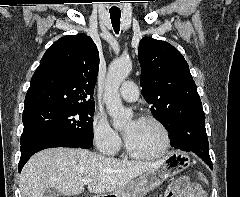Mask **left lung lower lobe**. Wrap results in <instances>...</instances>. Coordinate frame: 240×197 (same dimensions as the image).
I'll return each mask as SVG.
<instances>
[{
  "label": "left lung lower lobe",
  "instance_id": "0a47b994",
  "mask_svg": "<svg viewBox=\"0 0 240 197\" xmlns=\"http://www.w3.org/2000/svg\"><path fill=\"white\" fill-rule=\"evenodd\" d=\"M174 122L176 124L169 134L171 145L176 149L196 153L213 169L208 151L209 144L203 109L197 108L192 113L181 114Z\"/></svg>",
  "mask_w": 240,
  "mask_h": 197
}]
</instances>
